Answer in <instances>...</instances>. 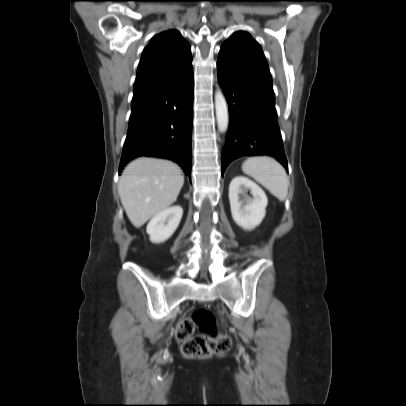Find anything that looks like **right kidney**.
Instances as JSON below:
<instances>
[{
    "mask_svg": "<svg viewBox=\"0 0 406 406\" xmlns=\"http://www.w3.org/2000/svg\"><path fill=\"white\" fill-rule=\"evenodd\" d=\"M183 215V209L176 205L155 215L147 225L146 231L153 243H162L169 239L177 229Z\"/></svg>",
    "mask_w": 406,
    "mask_h": 406,
    "instance_id": "right-kidney-1",
    "label": "right kidney"
}]
</instances>
